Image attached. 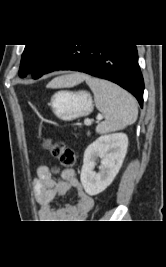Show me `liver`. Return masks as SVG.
<instances>
[{
	"label": "liver",
	"instance_id": "obj_1",
	"mask_svg": "<svg viewBox=\"0 0 166 267\" xmlns=\"http://www.w3.org/2000/svg\"><path fill=\"white\" fill-rule=\"evenodd\" d=\"M87 76L81 73H72L65 76H61L52 80L47 87L58 88V87H73L83 82Z\"/></svg>",
	"mask_w": 166,
	"mask_h": 267
}]
</instances>
